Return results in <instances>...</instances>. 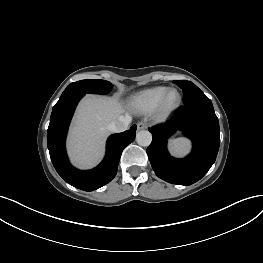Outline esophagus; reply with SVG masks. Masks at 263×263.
I'll use <instances>...</instances> for the list:
<instances>
[{"instance_id": "34e87169", "label": "esophagus", "mask_w": 263, "mask_h": 263, "mask_svg": "<svg viewBox=\"0 0 263 263\" xmlns=\"http://www.w3.org/2000/svg\"><path fill=\"white\" fill-rule=\"evenodd\" d=\"M147 124L146 123H144V122H139L138 124H137V128H138V130H144V129H147Z\"/></svg>"}]
</instances>
